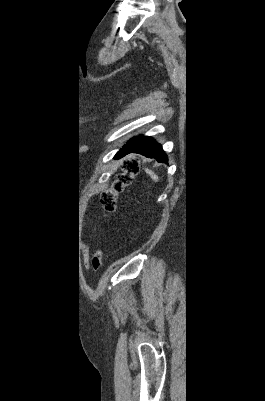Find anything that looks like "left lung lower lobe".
<instances>
[{"mask_svg":"<svg viewBox=\"0 0 265 401\" xmlns=\"http://www.w3.org/2000/svg\"><path fill=\"white\" fill-rule=\"evenodd\" d=\"M140 153L146 157L155 158L158 162H167V157L159 143L150 137H134L123 146L115 158H120L128 153Z\"/></svg>","mask_w":265,"mask_h":401,"instance_id":"0a47b994","label":"left lung lower lobe"}]
</instances>
